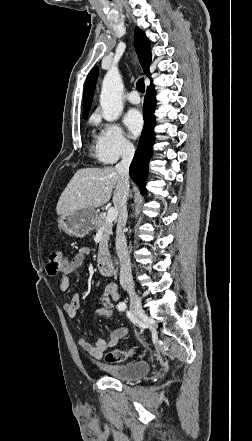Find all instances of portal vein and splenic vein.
<instances>
[{
	"label": "portal vein and splenic vein",
	"instance_id": "portal-vein-and-splenic-vein-1",
	"mask_svg": "<svg viewBox=\"0 0 252 441\" xmlns=\"http://www.w3.org/2000/svg\"><path fill=\"white\" fill-rule=\"evenodd\" d=\"M118 215V210L116 208H110L107 212L106 223H112L116 220Z\"/></svg>",
	"mask_w": 252,
	"mask_h": 441
}]
</instances>
